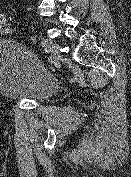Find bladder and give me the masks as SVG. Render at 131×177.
I'll use <instances>...</instances> for the list:
<instances>
[{
	"label": "bladder",
	"mask_w": 131,
	"mask_h": 177,
	"mask_svg": "<svg viewBox=\"0 0 131 177\" xmlns=\"http://www.w3.org/2000/svg\"><path fill=\"white\" fill-rule=\"evenodd\" d=\"M59 82L24 46L14 40L0 43V94L10 100L42 103Z\"/></svg>",
	"instance_id": "31cf9c89"
}]
</instances>
